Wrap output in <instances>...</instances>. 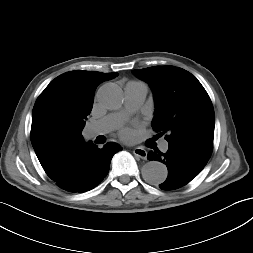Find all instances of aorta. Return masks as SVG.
<instances>
[{
	"label": "aorta",
	"mask_w": 253,
	"mask_h": 253,
	"mask_svg": "<svg viewBox=\"0 0 253 253\" xmlns=\"http://www.w3.org/2000/svg\"><path fill=\"white\" fill-rule=\"evenodd\" d=\"M97 100L100 106L108 110H116L123 103V93L116 84H105L97 92ZM143 178L152 185L163 183L168 175L167 167L158 161L147 162L142 167Z\"/></svg>",
	"instance_id": "762f6f07"
}]
</instances>
